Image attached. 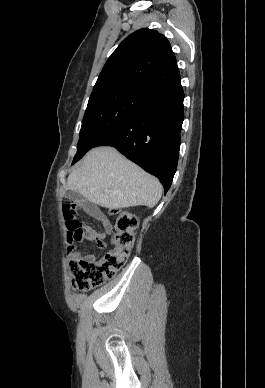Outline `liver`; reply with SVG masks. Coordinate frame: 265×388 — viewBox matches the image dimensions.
<instances>
[{
	"instance_id": "liver-1",
	"label": "liver",
	"mask_w": 265,
	"mask_h": 388,
	"mask_svg": "<svg viewBox=\"0 0 265 388\" xmlns=\"http://www.w3.org/2000/svg\"><path fill=\"white\" fill-rule=\"evenodd\" d=\"M67 188L88 202L111 210L130 206L154 208L163 190L157 178L110 146L90 150L81 166L68 176Z\"/></svg>"
}]
</instances>
